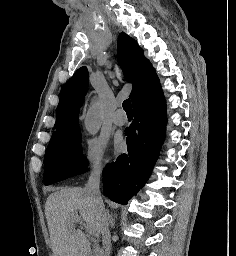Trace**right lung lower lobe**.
Returning a JSON list of instances; mask_svg holds the SVG:
<instances>
[{
  "instance_id": "right-lung-lower-lobe-1",
  "label": "right lung lower lobe",
  "mask_w": 236,
  "mask_h": 256,
  "mask_svg": "<svg viewBox=\"0 0 236 256\" xmlns=\"http://www.w3.org/2000/svg\"><path fill=\"white\" fill-rule=\"evenodd\" d=\"M133 110V123L125 130L128 153L103 170V190L120 204H127L144 186L164 141L166 103L160 84L135 102Z\"/></svg>"
}]
</instances>
